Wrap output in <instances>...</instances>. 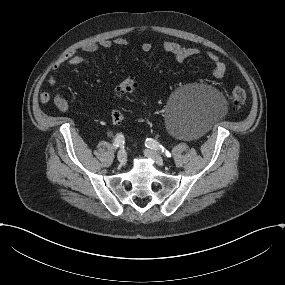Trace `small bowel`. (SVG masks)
Segmentation results:
<instances>
[{"mask_svg":"<svg viewBox=\"0 0 285 285\" xmlns=\"http://www.w3.org/2000/svg\"><path fill=\"white\" fill-rule=\"evenodd\" d=\"M113 46L118 47H127L128 42L124 38H115V39H102L99 42H91L87 43L82 47L83 52L85 53H94L99 49H110ZM161 47L164 51L170 53L176 61L182 62L187 58L194 57L200 55L202 52L200 49L195 47H185L180 45L177 42L165 40L161 43ZM153 45L149 42L143 43L142 51L147 53L151 51ZM206 57L213 63V67L211 70V75L215 78H221L224 76L226 72V64L224 61L214 52L207 51L205 53ZM88 65L89 61L87 58L77 51H70L62 55L51 67L52 71H56L62 65ZM57 82V78L54 74H52L48 83L51 86H54ZM39 99L42 103H47L49 101H53V104L62 112H66L70 109V105L68 101L59 93H56L54 96H51L47 91H40Z\"/></svg>","mask_w":285,"mask_h":285,"instance_id":"obj_1","label":"small bowel"}]
</instances>
